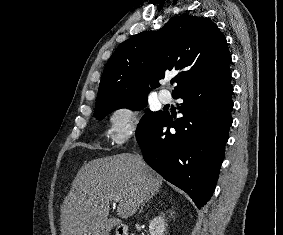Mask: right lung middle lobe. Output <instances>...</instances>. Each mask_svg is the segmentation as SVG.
<instances>
[{
	"mask_svg": "<svg viewBox=\"0 0 283 235\" xmlns=\"http://www.w3.org/2000/svg\"><path fill=\"white\" fill-rule=\"evenodd\" d=\"M147 105V96L122 100V101H113V102H103L96 104L94 116L101 120L108 113L119 109V108H129L132 110H139L144 108ZM163 112H152L149 109L145 111L144 116L142 117L140 123L137 126L136 136L150 128L162 115Z\"/></svg>",
	"mask_w": 283,
	"mask_h": 235,
	"instance_id": "dd1d6c3e",
	"label": "right lung middle lobe"
}]
</instances>
